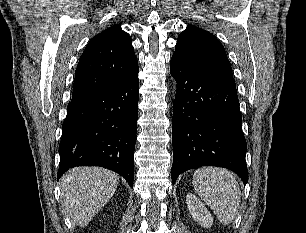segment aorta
I'll list each match as a JSON object with an SVG mask.
<instances>
[{
  "label": "aorta",
  "instance_id": "1",
  "mask_svg": "<svg viewBox=\"0 0 306 233\" xmlns=\"http://www.w3.org/2000/svg\"><path fill=\"white\" fill-rule=\"evenodd\" d=\"M176 88H175V81H174V90H175Z\"/></svg>",
  "mask_w": 306,
  "mask_h": 233
}]
</instances>
